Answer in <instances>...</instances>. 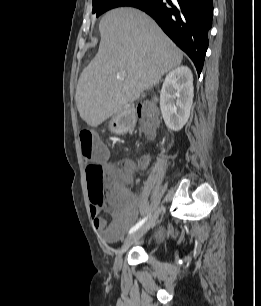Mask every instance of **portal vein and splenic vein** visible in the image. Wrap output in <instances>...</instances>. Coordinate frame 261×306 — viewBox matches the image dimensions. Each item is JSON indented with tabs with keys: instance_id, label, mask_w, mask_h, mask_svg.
<instances>
[{
	"instance_id": "1",
	"label": "portal vein and splenic vein",
	"mask_w": 261,
	"mask_h": 306,
	"mask_svg": "<svg viewBox=\"0 0 261 306\" xmlns=\"http://www.w3.org/2000/svg\"><path fill=\"white\" fill-rule=\"evenodd\" d=\"M124 75H125V72L120 73V74L117 75V78H120L121 76H124Z\"/></svg>"
}]
</instances>
